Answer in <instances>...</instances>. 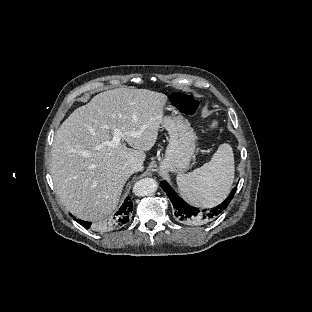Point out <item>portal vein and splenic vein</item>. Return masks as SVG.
Masks as SVG:
<instances>
[{
	"label": "portal vein and splenic vein",
	"mask_w": 312,
	"mask_h": 312,
	"mask_svg": "<svg viewBox=\"0 0 312 312\" xmlns=\"http://www.w3.org/2000/svg\"><path fill=\"white\" fill-rule=\"evenodd\" d=\"M122 134L119 130H114L112 140L107 142L108 146L116 147L121 142Z\"/></svg>",
	"instance_id": "18ae733b"
}]
</instances>
